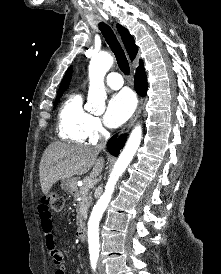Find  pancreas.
Instances as JSON below:
<instances>
[{"label": "pancreas", "instance_id": "obj_1", "mask_svg": "<svg viewBox=\"0 0 221 274\" xmlns=\"http://www.w3.org/2000/svg\"><path fill=\"white\" fill-rule=\"evenodd\" d=\"M74 198L75 199H79L78 204H77V208H76V212H77V226L78 227H82L84 225V222L87 218V212H88V208L90 206V203L92 201V195L89 191V188L86 187V185L84 184L78 193L74 194Z\"/></svg>", "mask_w": 221, "mask_h": 274}]
</instances>
